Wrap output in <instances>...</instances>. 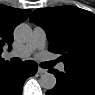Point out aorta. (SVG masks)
I'll return each instance as SVG.
<instances>
[{
	"label": "aorta",
	"instance_id": "1",
	"mask_svg": "<svg viewBox=\"0 0 95 95\" xmlns=\"http://www.w3.org/2000/svg\"><path fill=\"white\" fill-rule=\"evenodd\" d=\"M32 29L28 24L21 23L14 30V36L21 42H28L32 38ZM42 88L51 90L56 85V77L51 73H44L39 79Z\"/></svg>",
	"mask_w": 95,
	"mask_h": 95
}]
</instances>
